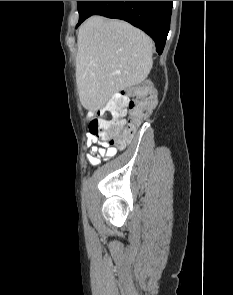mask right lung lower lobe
<instances>
[{"label": "right lung lower lobe", "mask_w": 233, "mask_h": 295, "mask_svg": "<svg viewBox=\"0 0 233 295\" xmlns=\"http://www.w3.org/2000/svg\"><path fill=\"white\" fill-rule=\"evenodd\" d=\"M172 1H89L77 27L91 15L125 20L142 29L161 54L170 27Z\"/></svg>", "instance_id": "1"}]
</instances>
